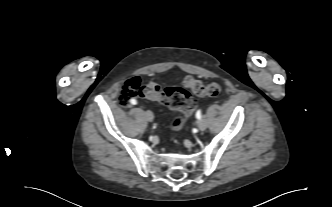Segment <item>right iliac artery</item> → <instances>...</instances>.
Masks as SVG:
<instances>
[{"label": "right iliac artery", "mask_w": 332, "mask_h": 207, "mask_svg": "<svg viewBox=\"0 0 332 207\" xmlns=\"http://www.w3.org/2000/svg\"><path fill=\"white\" fill-rule=\"evenodd\" d=\"M130 102H131V104H133V105H136V104H137V101H136L135 99H132Z\"/></svg>", "instance_id": "obj_1"}]
</instances>
